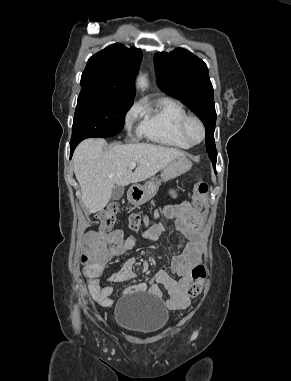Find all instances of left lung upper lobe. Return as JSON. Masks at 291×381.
Wrapping results in <instances>:
<instances>
[{
  "label": "left lung upper lobe",
  "instance_id": "5c2ea615",
  "mask_svg": "<svg viewBox=\"0 0 291 381\" xmlns=\"http://www.w3.org/2000/svg\"><path fill=\"white\" fill-rule=\"evenodd\" d=\"M159 87L191 109L206 127V149L213 165L217 150L214 141L216 112L214 92L206 64L186 49L154 56Z\"/></svg>",
  "mask_w": 291,
  "mask_h": 381
}]
</instances>
